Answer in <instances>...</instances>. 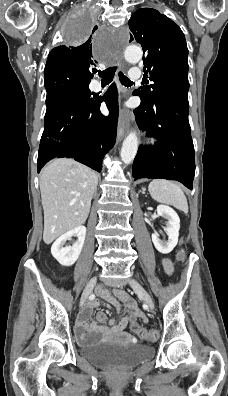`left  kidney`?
<instances>
[{"label": "left kidney", "instance_id": "1", "mask_svg": "<svg viewBox=\"0 0 228 396\" xmlns=\"http://www.w3.org/2000/svg\"><path fill=\"white\" fill-rule=\"evenodd\" d=\"M158 216L165 217L168 222L166 224V233L168 240L163 241L158 238L157 233L152 234V241L155 248L162 254L170 253L178 243L180 219L178 214L169 206L158 205L157 206Z\"/></svg>", "mask_w": 228, "mask_h": 396}]
</instances>
